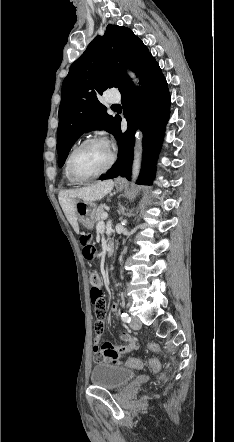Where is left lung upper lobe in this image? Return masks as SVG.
<instances>
[{"instance_id": "left-lung-upper-lobe-1", "label": "left lung upper lobe", "mask_w": 234, "mask_h": 442, "mask_svg": "<svg viewBox=\"0 0 234 442\" xmlns=\"http://www.w3.org/2000/svg\"><path fill=\"white\" fill-rule=\"evenodd\" d=\"M150 55L130 29L108 25L104 36H97L71 65L62 84L59 108V167L84 132L104 129L116 137L119 116L108 115L97 96L112 87L121 91L131 83L124 68H131L139 76Z\"/></svg>"}]
</instances>
